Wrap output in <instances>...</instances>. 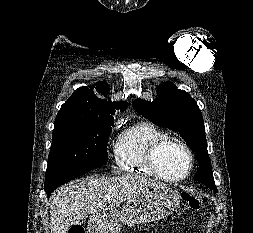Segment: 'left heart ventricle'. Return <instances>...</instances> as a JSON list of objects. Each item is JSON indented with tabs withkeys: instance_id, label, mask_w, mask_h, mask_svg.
Instances as JSON below:
<instances>
[{
	"instance_id": "1",
	"label": "left heart ventricle",
	"mask_w": 253,
	"mask_h": 233,
	"mask_svg": "<svg viewBox=\"0 0 253 233\" xmlns=\"http://www.w3.org/2000/svg\"><path fill=\"white\" fill-rule=\"evenodd\" d=\"M159 166L167 176H181L187 171L189 159L182 148L170 146L160 154Z\"/></svg>"
}]
</instances>
